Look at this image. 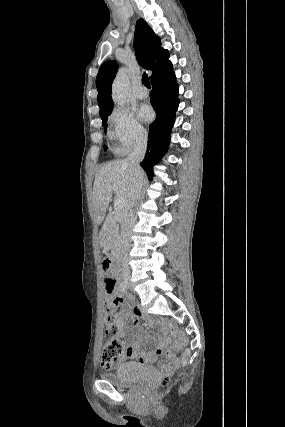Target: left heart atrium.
<instances>
[{
	"mask_svg": "<svg viewBox=\"0 0 285 427\" xmlns=\"http://www.w3.org/2000/svg\"><path fill=\"white\" fill-rule=\"evenodd\" d=\"M152 116H153V112H152V109L149 105L143 104L140 106V108L138 110V117L140 120L146 122V121L151 120Z\"/></svg>",
	"mask_w": 285,
	"mask_h": 427,
	"instance_id": "left-heart-atrium-1",
	"label": "left heart atrium"
}]
</instances>
